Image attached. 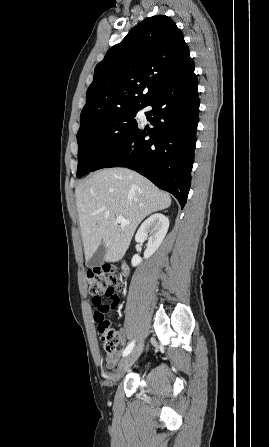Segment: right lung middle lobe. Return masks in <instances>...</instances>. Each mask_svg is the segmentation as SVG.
Here are the masks:
<instances>
[{"mask_svg":"<svg viewBox=\"0 0 269 447\" xmlns=\"http://www.w3.org/2000/svg\"><path fill=\"white\" fill-rule=\"evenodd\" d=\"M142 108L144 104L115 109L80 126L77 133V177L93 171L106 155L138 128L134 118Z\"/></svg>","mask_w":269,"mask_h":447,"instance_id":"obj_1","label":"right lung middle lobe"}]
</instances>
